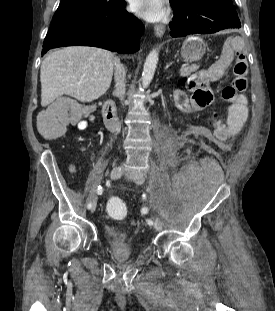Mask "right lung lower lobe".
Masks as SVG:
<instances>
[{
    "label": "right lung lower lobe",
    "instance_id": "1",
    "mask_svg": "<svg viewBox=\"0 0 275 311\" xmlns=\"http://www.w3.org/2000/svg\"><path fill=\"white\" fill-rule=\"evenodd\" d=\"M144 30L140 20L125 10L120 0L111 9L70 17L52 23L43 43L42 55L63 46H95L119 53L139 49Z\"/></svg>",
    "mask_w": 275,
    "mask_h": 311
}]
</instances>
